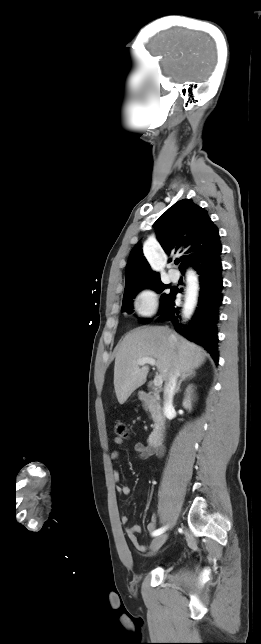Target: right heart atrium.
<instances>
[{"label": "right heart atrium", "mask_w": 261, "mask_h": 644, "mask_svg": "<svg viewBox=\"0 0 261 644\" xmlns=\"http://www.w3.org/2000/svg\"><path fill=\"white\" fill-rule=\"evenodd\" d=\"M158 306L157 294L152 289H144L136 296L135 308L139 315L148 317L153 315Z\"/></svg>", "instance_id": "d8ad5b80"}]
</instances>
